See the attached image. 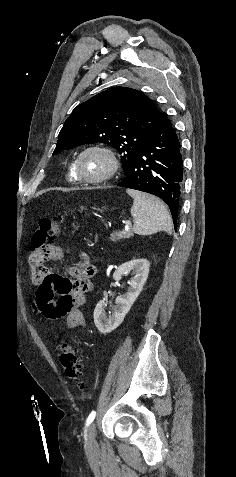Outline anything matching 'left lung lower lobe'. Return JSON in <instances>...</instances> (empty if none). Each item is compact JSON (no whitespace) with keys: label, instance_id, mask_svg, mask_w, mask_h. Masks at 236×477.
Wrapping results in <instances>:
<instances>
[{"label":"left lung lower lobe","instance_id":"obj_1","mask_svg":"<svg viewBox=\"0 0 236 477\" xmlns=\"http://www.w3.org/2000/svg\"><path fill=\"white\" fill-rule=\"evenodd\" d=\"M183 161L180 142L165 113L144 145L136 152L118 186L160 197L169 206L174 222L180 208Z\"/></svg>","mask_w":236,"mask_h":477}]
</instances>
